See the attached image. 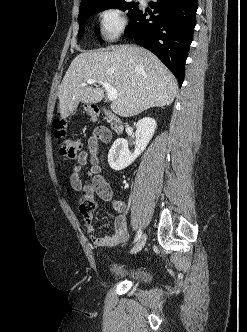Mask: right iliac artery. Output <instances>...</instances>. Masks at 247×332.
<instances>
[{"label": "right iliac artery", "mask_w": 247, "mask_h": 332, "mask_svg": "<svg viewBox=\"0 0 247 332\" xmlns=\"http://www.w3.org/2000/svg\"><path fill=\"white\" fill-rule=\"evenodd\" d=\"M141 234H142V231H141V229H139L138 232H137V234H136V237L134 239V243L140 239Z\"/></svg>", "instance_id": "right-iliac-artery-1"}]
</instances>
